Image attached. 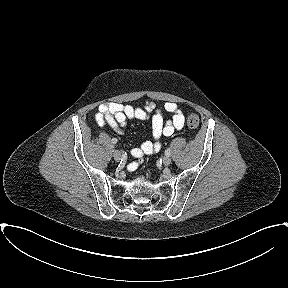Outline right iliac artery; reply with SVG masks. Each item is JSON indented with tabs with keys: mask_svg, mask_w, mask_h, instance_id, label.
<instances>
[{
	"mask_svg": "<svg viewBox=\"0 0 288 288\" xmlns=\"http://www.w3.org/2000/svg\"><path fill=\"white\" fill-rule=\"evenodd\" d=\"M112 143H113V144H116V143H117V139H116V138H113V139H112Z\"/></svg>",
	"mask_w": 288,
	"mask_h": 288,
	"instance_id": "obj_1",
	"label": "right iliac artery"
}]
</instances>
